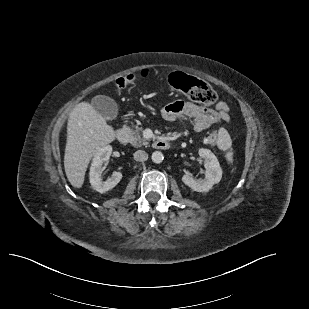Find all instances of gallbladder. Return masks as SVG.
Instances as JSON below:
<instances>
[{
    "label": "gallbladder",
    "instance_id": "1",
    "mask_svg": "<svg viewBox=\"0 0 309 309\" xmlns=\"http://www.w3.org/2000/svg\"><path fill=\"white\" fill-rule=\"evenodd\" d=\"M93 108L104 118L114 120L118 114L116 102L105 95H97L91 99Z\"/></svg>",
    "mask_w": 309,
    "mask_h": 309
}]
</instances>
